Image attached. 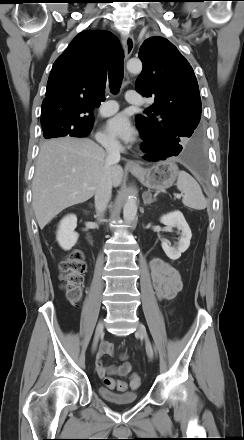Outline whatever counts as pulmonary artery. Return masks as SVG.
Wrapping results in <instances>:
<instances>
[{"instance_id":"pulmonary-artery-1","label":"pulmonary artery","mask_w":244,"mask_h":440,"mask_svg":"<svg viewBox=\"0 0 244 440\" xmlns=\"http://www.w3.org/2000/svg\"><path fill=\"white\" fill-rule=\"evenodd\" d=\"M126 100L131 104L141 105L143 104V99L140 94L136 91H128L126 93ZM119 105L116 101L108 100L101 104L99 111L103 116H109L117 112Z\"/></svg>"}]
</instances>
